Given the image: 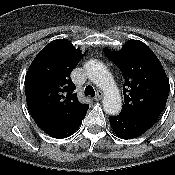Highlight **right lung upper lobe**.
Wrapping results in <instances>:
<instances>
[{"instance_id": "1", "label": "right lung upper lobe", "mask_w": 175, "mask_h": 175, "mask_svg": "<svg viewBox=\"0 0 175 175\" xmlns=\"http://www.w3.org/2000/svg\"><path fill=\"white\" fill-rule=\"evenodd\" d=\"M84 55L69 41L57 39L47 44L31 63L25 76V94L39 127L75 121L87 112L89 105L78 101L70 79Z\"/></svg>"}]
</instances>
